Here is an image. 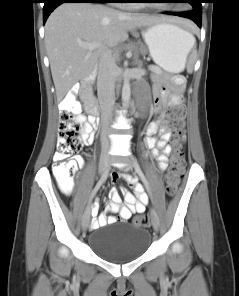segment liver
Returning <instances> with one entry per match:
<instances>
[{
    "label": "liver",
    "instance_id": "obj_1",
    "mask_svg": "<svg viewBox=\"0 0 239 296\" xmlns=\"http://www.w3.org/2000/svg\"><path fill=\"white\" fill-rule=\"evenodd\" d=\"M180 19L126 13L93 3H64L49 16L45 45L58 100L95 70L97 59L128 39V31ZM79 43H99L89 50Z\"/></svg>",
    "mask_w": 239,
    "mask_h": 296
}]
</instances>
